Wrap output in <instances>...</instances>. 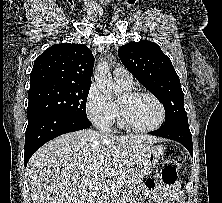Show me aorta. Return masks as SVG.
<instances>
[{"mask_svg": "<svg viewBox=\"0 0 222 203\" xmlns=\"http://www.w3.org/2000/svg\"><path fill=\"white\" fill-rule=\"evenodd\" d=\"M95 81L97 82L99 89L108 98H113L120 93V88L113 82L109 65L105 61H101L97 64Z\"/></svg>", "mask_w": 222, "mask_h": 203, "instance_id": "aorta-1", "label": "aorta"}]
</instances>
